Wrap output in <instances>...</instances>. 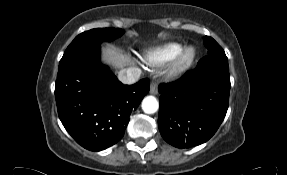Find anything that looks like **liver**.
Returning a JSON list of instances; mask_svg holds the SVG:
<instances>
[{"mask_svg": "<svg viewBox=\"0 0 287 175\" xmlns=\"http://www.w3.org/2000/svg\"><path fill=\"white\" fill-rule=\"evenodd\" d=\"M102 59L115 68H123L132 63L131 59L114 47L106 46L102 50Z\"/></svg>", "mask_w": 287, "mask_h": 175, "instance_id": "1", "label": "liver"}]
</instances>
